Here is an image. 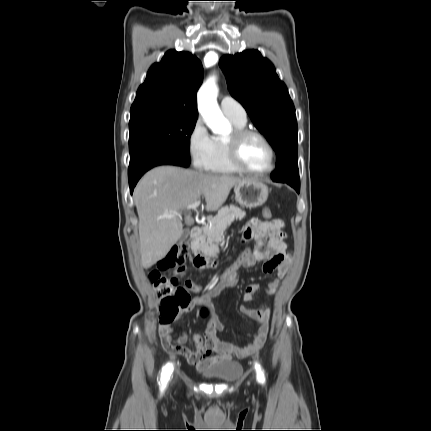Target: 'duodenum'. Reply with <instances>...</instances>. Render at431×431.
Here are the masks:
<instances>
[{
    "label": "duodenum",
    "instance_id": "obj_1",
    "mask_svg": "<svg viewBox=\"0 0 431 431\" xmlns=\"http://www.w3.org/2000/svg\"><path fill=\"white\" fill-rule=\"evenodd\" d=\"M202 234L200 227H193L190 232L189 242L195 244ZM192 263L198 269L211 268L216 265V260L213 257L203 256L198 253H194L192 256Z\"/></svg>",
    "mask_w": 431,
    "mask_h": 431
}]
</instances>
